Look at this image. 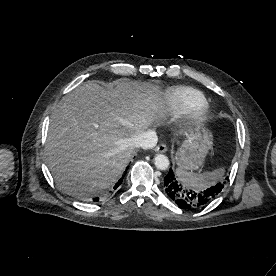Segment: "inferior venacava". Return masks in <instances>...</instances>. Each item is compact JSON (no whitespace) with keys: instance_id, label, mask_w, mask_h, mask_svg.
I'll return each instance as SVG.
<instances>
[{"instance_id":"1","label":"inferior vena cava","mask_w":276,"mask_h":276,"mask_svg":"<svg viewBox=\"0 0 276 276\" xmlns=\"http://www.w3.org/2000/svg\"><path fill=\"white\" fill-rule=\"evenodd\" d=\"M158 137L155 131L147 130L138 135H135L130 139L131 145L133 147L142 149L154 148L157 144Z\"/></svg>"}]
</instances>
